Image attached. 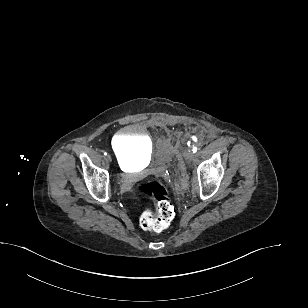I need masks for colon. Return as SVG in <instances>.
<instances>
[{
  "instance_id": "colon-1",
  "label": "colon",
  "mask_w": 308,
  "mask_h": 308,
  "mask_svg": "<svg viewBox=\"0 0 308 308\" xmlns=\"http://www.w3.org/2000/svg\"><path fill=\"white\" fill-rule=\"evenodd\" d=\"M133 195L140 203L152 199L155 204L154 210L145 209L140 216L143 229L160 232L168 227L175 216V208L162 183L154 180L140 182L134 187Z\"/></svg>"
}]
</instances>
